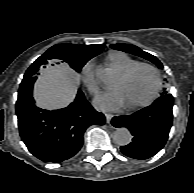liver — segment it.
<instances>
[{
  "label": "liver",
  "instance_id": "liver-1",
  "mask_svg": "<svg viewBox=\"0 0 194 193\" xmlns=\"http://www.w3.org/2000/svg\"><path fill=\"white\" fill-rule=\"evenodd\" d=\"M78 77L67 67L42 72L34 88L39 107L58 109L67 106L75 97Z\"/></svg>",
  "mask_w": 194,
  "mask_h": 193
}]
</instances>
